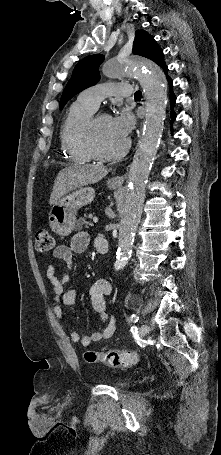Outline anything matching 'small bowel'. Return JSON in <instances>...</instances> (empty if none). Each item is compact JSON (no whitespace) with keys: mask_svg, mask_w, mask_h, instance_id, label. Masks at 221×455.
<instances>
[{"mask_svg":"<svg viewBox=\"0 0 221 455\" xmlns=\"http://www.w3.org/2000/svg\"><path fill=\"white\" fill-rule=\"evenodd\" d=\"M89 236L85 232L76 233L70 242V245H59L53 250V257L62 261L66 267V273L58 277L53 265L49 264L46 269L48 286L54 294L53 313L59 320L63 318V306H70L75 303L76 292L72 288H66L69 281V272L72 269L73 258L76 254L83 253L89 246ZM112 287L109 281L105 279L96 280L90 289L91 304L95 312L100 316L103 328L100 331L80 336L78 332L71 331L70 339L74 343H79L83 347H88L92 343L109 339L116 330L115 318L107 312L106 298L111 294Z\"/></svg>","mask_w":221,"mask_h":455,"instance_id":"c3829d8e","label":"small bowel"}]
</instances>
